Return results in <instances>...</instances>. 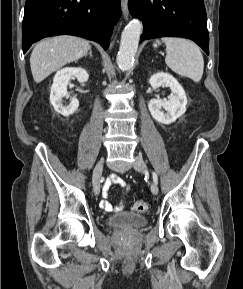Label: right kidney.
<instances>
[{
	"label": "right kidney",
	"mask_w": 243,
	"mask_h": 289,
	"mask_svg": "<svg viewBox=\"0 0 243 289\" xmlns=\"http://www.w3.org/2000/svg\"><path fill=\"white\" fill-rule=\"evenodd\" d=\"M73 77H76L80 83H85L89 79V74L85 69L80 67H66L57 71L51 86L50 102L56 112L66 117L73 114L79 106V101L76 97L71 98L69 105L64 106L62 104V99L64 97H70L67 92V85Z\"/></svg>",
	"instance_id": "right-kidney-1"
}]
</instances>
